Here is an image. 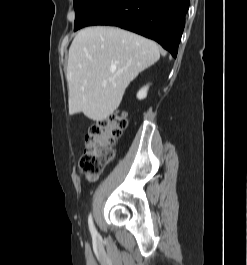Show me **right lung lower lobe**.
I'll list each match as a JSON object with an SVG mask.
<instances>
[{
    "label": "right lung lower lobe",
    "instance_id": "1",
    "mask_svg": "<svg viewBox=\"0 0 247 265\" xmlns=\"http://www.w3.org/2000/svg\"><path fill=\"white\" fill-rule=\"evenodd\" d=\"M189 0H98L75 25L118 26L153 39L177 56Z\"/></svg>",
    "mask_w": 247,
    "mask_h": 265
}]
</instances>
